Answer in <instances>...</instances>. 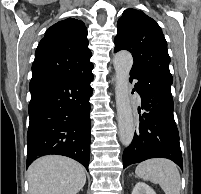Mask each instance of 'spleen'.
Segmentation results:
<instances>
[{
	"mask_svg": "<svg viewBox=\"0 0 201 194\" xmlns=\"http://www.w3.org/2000/svg\"><path fill=\"white\" fill-rule=\"evenodd\" d=\"M136 175L159 184L165 194H180L181 179L177 166L167 159H150L137 165Z\"/></svg>",
	"mask_w": 201,
	"mask_h": 194,
	"instance_id": "3e777b00",
	"label": "spleen"
}]
</instances>
